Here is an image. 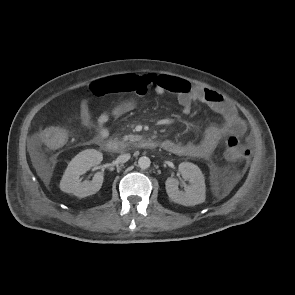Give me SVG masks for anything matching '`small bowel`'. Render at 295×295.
<instances>
[{"label": "small bowel", "mask_w": 295, "mask_h": 295, "mask_svg": "<svg viewBox=\"0 0 295 295\" xmlns=\"http://www.w3.org/2000/svg\"><path fill=\"white\" fill-rule=\"evenodd\" d=\"M149 90L157 94H175L185 115L190 114L195 102H201L223 118L221 124L208 127L203 138L197 143H178L169 139L162 141L161 147L168 152L208 159L226 137H239L246 131V124L238 115L236 108L221 94L167 75H115L91 82L79 106V117L83 128L87 131H95L98 141L106 140L110 135L107 123L112 118H118L133 111L138 106L139 100ZM120 92L134 93L136 98L115 104L110 110L100 114L94 122L90 112L91 98Z\"/></svg>", "instance_id": "c3829d8e"}]
</instances>
